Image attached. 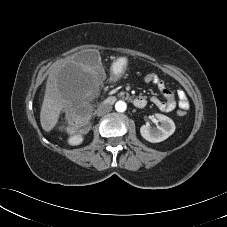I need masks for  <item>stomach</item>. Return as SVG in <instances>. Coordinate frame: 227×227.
<instances>
[{"instance_id": "stomach-1", "label": "stomach", "mask_w": 227, "mask_h": 227, "mask_svg": "<svg viewBox=\"0 0 227 227\" xmlns=\"http://www.w3.org/2000/svg\"><path fill=\"white\" fill-rule=\"evenodd\" d=\"M127 59L121 57L117 59L112 66V74L116 77H120L126 70Z\"/></svg>"}]
</instances>
